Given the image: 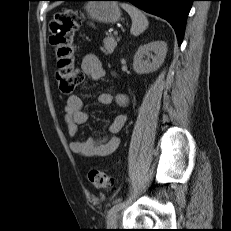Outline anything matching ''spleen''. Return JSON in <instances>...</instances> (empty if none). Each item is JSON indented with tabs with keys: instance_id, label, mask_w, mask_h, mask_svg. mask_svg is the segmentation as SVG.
<instances>
[{
	"instance_id": "3e777b00",
	"label": "spleen",
	"mask_w": 231,
	"mask_h": 231,
	"mask_svg": "<svg viewBox=\"0 0 231 231\" xmlns=\"http://www.w3.org/2000/svg\"><path fill=\"white\" fill-rule=\"evenodd\" d=\"M121 7L130 15L132 19V26L130 29L131 34L138 36L143 33L148 27V20L143 12L128 3H122Z\"/></svg>"
}]
</instances>
